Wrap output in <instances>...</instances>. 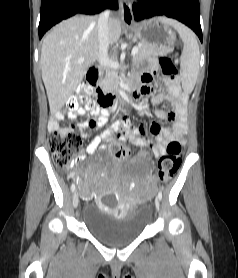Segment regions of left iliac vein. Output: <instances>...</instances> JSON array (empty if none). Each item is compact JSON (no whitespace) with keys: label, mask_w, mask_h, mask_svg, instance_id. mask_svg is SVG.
I'll return each mask as SVG.
<instances>
[{"label":"left iliac vein","mask_w":238,"mask_h":278,"mask_svg":"<svg viewBox=\"0 0 238 278\" xmlns=\"http://www.w3.org/2000/svg\"><path fill=\"white\" fill-rule=\"evenodd\" d=\"M155 207H156L157 210H159L160 202H159L158 198L155 199Z\"/></svg>","instance_id":"obj_1"}]
</instances>
